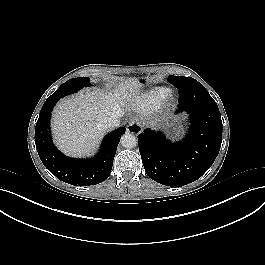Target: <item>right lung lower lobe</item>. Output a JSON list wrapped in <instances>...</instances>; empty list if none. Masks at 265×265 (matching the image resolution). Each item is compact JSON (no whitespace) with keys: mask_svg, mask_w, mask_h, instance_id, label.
Masks as SVG:
<instances>
[{"mask_svg":"<svg viewBox=\"0 0 265 265\" xmlns=\"http://www.w3.org/2000/svg\"><path fill=\"white\" fill-rule=\"evenodd\" d=\"M58 100H47L35 128V143L44 166L59 180L74 186H90L105 181L111 172L120 136L125 128L107 134L99 153L90 159H74L62 154L53 144L50 117Z\"/></svg>","mask_w":265,"mask_h":265,"instance_id":"1","label":"right lung lower lobe"}]
</instances>
